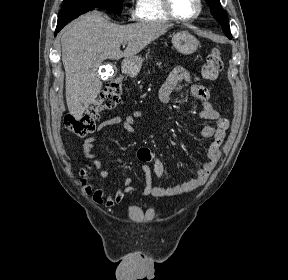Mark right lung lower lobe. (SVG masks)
Segmentation results:
<instances>
[{
	"label": "right lung lower lobe",
	"mask_w": 288,
	"mask_h": 280,
	"mask_svg": "<svg viewBox=\"0 0 288 280\" xmlns=\"http://www.w3.org/2000/svg\"><path fill=\"white\" fill-rule=\"evenodd\" d=\"M94 8H91V9H87V10H83V11H80L78 13H73V14H70L68 15L67 17L61 19V20H58V24H57V27H56V33L55 35L57 34V32H59L68 22H70L71 20L75 19L76 17L80 16L81 14H84L90 10H93Z\"/></svg>",
	"instance_id": "1"
}]
</instances>
